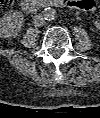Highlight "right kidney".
<instances>
[{
    "label": "right kidney",
    "instance_id": "ca27d5eb",
    "mask_svg": "<svg viewBox=\"0 0 100 118\" xmlns=\"http://www.w3.org/2000/svg\"><path fill=\"white\" fill-rule=\"evenodd\" d=\"M20 28V24L14 16L7 17L1 24V34L3 37L9 38L14 36Z\"/></svg>",
    "mask_w": 100,
    "mask_h": 118
}]
</instances>
